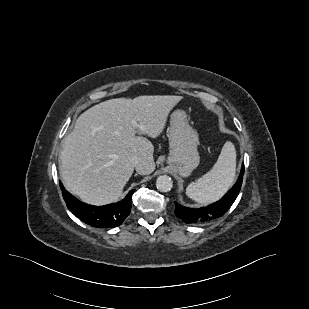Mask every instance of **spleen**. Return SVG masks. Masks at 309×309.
I'll use <instances>...</instances> for the list:
<instances>
[{
  "mask_svg": "<svg viewBox=\"0 0 309 309\" xmlns=\"http://www.w3.org/2000/svg\"><path fill=\"white\" fill-rule=\"evenodd\" d=\"M236 171V150L226 142L213 168L186 188V195L192 200L208 204L222 197L234 181Z\"/></svg>",
  "mask_w": 309,
  "mask_h": 309,
  "instance_id": "3e777b00",
  "label": "spleen"
}]
</instances>
